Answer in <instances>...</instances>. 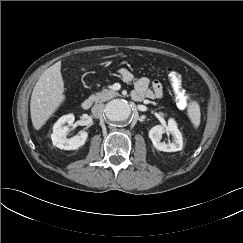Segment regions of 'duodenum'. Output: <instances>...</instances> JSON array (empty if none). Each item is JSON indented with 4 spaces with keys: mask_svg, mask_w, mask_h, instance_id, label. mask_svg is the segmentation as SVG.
<instances>
[{
    "mask_svg": "<svg viewBox=\"0 0 243 243\" xmlns=\"http://www.w3.org/2000/svg\"><path fill=\"white\" fill-rule=\"evenodd\" d=\"M92 104H93V100L91 98H86L82 102V108L84 110H88L92 106Z\"/></svg>",
    "mask_w": 243,
    "mask_h": 243,
    "instance_id": "410a0bca",
    "label": "duodenum"
}]
</instances>
